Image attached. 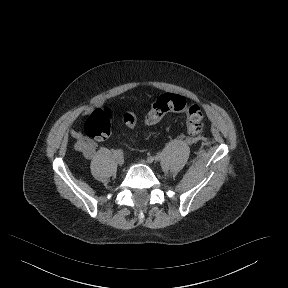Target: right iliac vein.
<instances>
[{
    "label": "right iliac vein",
    "instance_id": "obj_1",
    "mask_svg": "<svg viewBox=\"0 0 288 288\" xmlns=\"http://www.w3.org/2000/svg\"><path fill=\"white\" fill-rule=\"evenodd\" d=\"M117 164L119 165H122L123 164V160L122 159H118V158H115Z\"/></svg>",
    "mask_w": 288,
    "mask_h": 288
}]
</instances>
